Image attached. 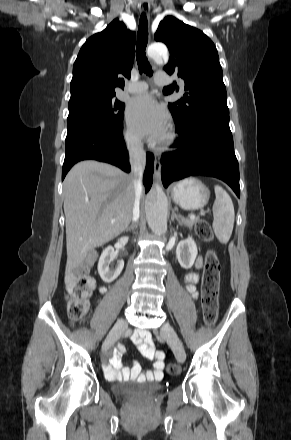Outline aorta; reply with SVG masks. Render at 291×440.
<instances>
[{"label": "aorta", "mask_w": 291, "mask_h": 440, "mask_svg": "<svg viewBox=\"0 0 291 440\" xmlns=\"http://www.w3.org/2000/svg\"><path fill=\"white\" fill-rule=\"evenodd\" d=\"M147 54L152 59H163L165 62L169 59L168 50L163 44H152L149 46ZM145 212L149 228L155 234H165L167 232L168 200L158 183L155 185V189L149 193Z\"/></svg>", "instance_id": "obj_1"}]
</instances>
